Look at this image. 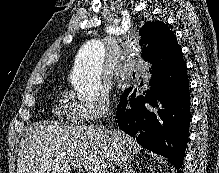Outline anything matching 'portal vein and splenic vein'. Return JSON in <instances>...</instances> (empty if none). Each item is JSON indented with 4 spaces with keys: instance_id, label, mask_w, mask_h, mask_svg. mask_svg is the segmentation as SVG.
I'll list each match as a JSON object with an SVG mask.
<instances>
[{
    "instance_id": "obj_1",
    "label": "portal vein and splenic vein",
    "mask_w": 219,
    "mask_h": 173,
    "mask_svg": "<svg viewBox=\"0 0 219 173\" xmlns=\"http://www.w3.org/2000/svg\"><path fill=\"white\" fill-rule=\"evenodd\" d=\"M73 166L75 168H78V169H81L82 168V165L78 164V163H73Z\"/></svg>"
}]
</instances>
